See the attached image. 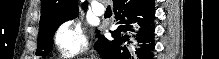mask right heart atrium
I'll list each match as a JSON object with an SVG mask.
<instances>
[{
  "label": "right heart atrium",
  "mask_w": 219,
  "mask_h": 59,
  "mask_svg": "<svg viewBox=\"0 0 219 59\" xmlns=\"http://www.w3.org/2000/svg\"><path fill=\"white\" fill-rule=\"evenodd\" d=\"M53 43L58 54L66 58L83 53L88 46L81 24L75 20H67L56 29Z\"/></svg>",
  "instance_id": "right-heart-atrium-1"
}]
</instances>
